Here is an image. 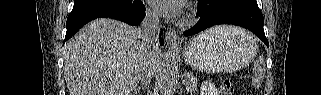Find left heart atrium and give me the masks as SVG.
<instances>
[{"label":"left heart atrium","instance_id":"39dd6f15","mask_svg":"<svg viewBox=\"0 0 321 95\" xmlns=\"http://www.w3.org/2000/svg\"><path fill=\"white\" fill-rule=\"evenodd\" d=\"M151 5L164 15H176L184 7L183 0H151Z\"/></svg>","mask_w":321,"mask_h":95}]
</instances>
